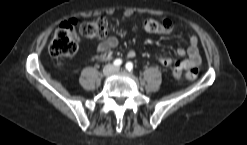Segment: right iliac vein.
Returning <instances> with one entry per match:
<instances>
[{"label":"right iliac vein","mask_w":247,"mask_h":145,"mask_svg":"<svg viewBox=\"0 0 247 145\" xmlns=\"http://www.w3.org/2000/svg\"><path fill=\"white\" fill-rule=\"evenodd\" d=\"M110 72H111V68H107L106 73H110Z\"/></svg>","instance_id":"obj_1"}]
</instances>
